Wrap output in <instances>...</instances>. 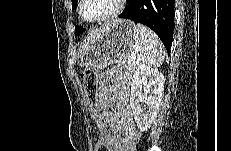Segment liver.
<instances>
[{
  "label": "liver",
  "instance_id": "1",
  "mask_svg": "<svg viewBox=\"0 0 231 151\" xmlns=\"http://www.w3.org/2000/svg\"><path fill=\"white\" fill-rule=\"evenodd\" d=\"M118 21V20H115ZM114 21L105 22L104 24L100 25L99 27L94 28L88 37L84 40L83 46L80 48L81 55L85 53L93 44H95L104 33L105 29Z\"/></svg>",
  "mask_w": 231,
  "mask_h": 151
}]
</instances>
